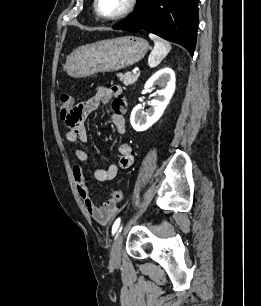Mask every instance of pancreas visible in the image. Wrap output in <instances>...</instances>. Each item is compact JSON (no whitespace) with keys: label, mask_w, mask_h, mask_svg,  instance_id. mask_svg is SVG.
<instances>
[{"label":"pancreas","mask_w":261,"mask_h":306,"mask_svg":"<svg viewBox=\"0 0 261 306\" xmlns=\"http://www.w3.org/2000/svg\"><path fill=\"white\" fill-rule=\"evenodd\" d=\"M139 75H140L139 73L132 74V73L128 72V73H125V74L120 73L117 76L120 79V81H123V83L126 86H128V85L134 84L137 81Z\"/></svg>","instance_id":"1"}]
</instances>
